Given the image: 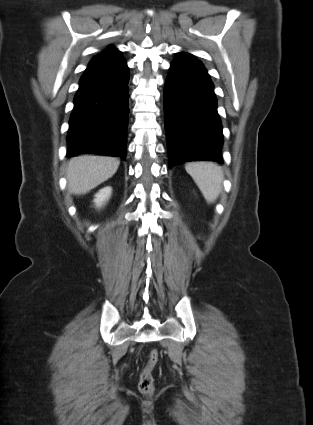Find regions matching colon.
<instances>
[{
	"label": "colon",
	"mask_w": 313,
	"mask_h": 425,
	"mask_svg": "<svg viewBox=\"0 0 313 425\" xmlns=\"http://www.w3.org/2000/svg\"><path fill=\"white\" fill-rule=\"evenodd\" d=\"M160 358L159 351L153 349L148 356L147 362L140 374L139 389L144 395H151L155 389L153 370Z\"/></svg>",
	"instance_id": "obj_1"
}]
</instances>
